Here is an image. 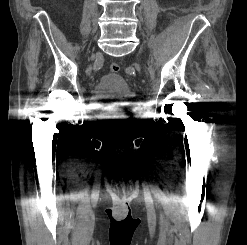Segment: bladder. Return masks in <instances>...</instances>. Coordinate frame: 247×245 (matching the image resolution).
I'll use <instances>...</instances> for the list:
<instances>
[{
    "mask_svg": "<svg viewBox=\"0 0 247 245\" xmlns=\"http://www.w3.org/2000/svg\"><path fill=\"white\" fill-rule=\"evenodd\" d=\"M96 102L115 100L130 95V88L126 80L117 73L102 75L92 91Z\"/></svg>",
    "mask_w": 247,
    "mask_h": 245,
    "instance_id": "obj_1",
    "label": "bladder"
}]
</instances>
